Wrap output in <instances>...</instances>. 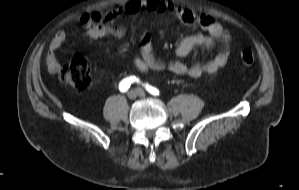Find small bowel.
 <instances>
[{"instance_id":"1","label":"small bowel","mask_w":299,"mask_h":190,"mask_svg":"<svg viewBox=\"0 0 299 190\" xmlns=\"http://www.w3.org/2000/svg\"><path fill=\"white\" fill-rule=\"evenodd\" d=\"M141 10L173 13L181 23L185 25L195 23L206 33H195L184 37L175 49L176 59L165 60L155 55L150 35L145 32L141 38L139 53L133 58V63L139 72L146 73L149 70L168 71L177 75L198 78L202 75H212L227 64L231 55V35L229 31L217 22L213 16L197 15L192 10L181 8L170 1L125 0L105 11L83 14L81 22L85 27L86 35L92 40H100L106 37L121 39L125 35L124 27L109 26L104 21L113 20L124 12L137 13ZM66 40V32L58 31L49 45L46 62L49 71L53 74L61 68L57 51ZM216 41L220 42L221 50L211 60L194 64H187L182 61L195 47L210 48Z\"/></svg>"}]
</instances>
